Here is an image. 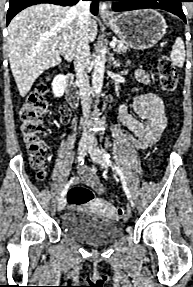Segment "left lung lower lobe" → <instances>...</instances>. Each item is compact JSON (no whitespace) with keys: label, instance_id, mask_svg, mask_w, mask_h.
Returning <instances> with one entry per match:
<instances>
[{"label":"left lung lower lobe","instance_id":"1","mask_svg":"<svg viewBox=\"0 0 193 287\" xmlns=\"http://www.w3.org/2000/svg\"><path fill=\"white\" fill-rule=\"evenodd\" d=\"M120 1L112 5L114 11H130L136 9H162L179 16L186 22L181 3L185 0H110ZM125 1V2H121Z\"/></svg>","mask_w":193,"mask_h":287}]
</instances>
